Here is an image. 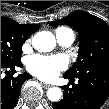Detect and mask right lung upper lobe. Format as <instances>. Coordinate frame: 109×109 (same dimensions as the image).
<instances>
[{"instance_id":"cb5924a9","label":"right lung upper lobe","mask_w":109,"mask_h":109,"mask_svg":"<svg viewBox=\"0 0 109 109\" xmlns=\"http://www.w3.org/2000/svg\"><path fill=\"white\" fill-rule=\"evenodd\" d=\"M1 22L6 24H14L20 27L28 38L39 29V25H29V24L20 25L8 17H1Z\"/></svg>"}]
</instances>
